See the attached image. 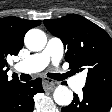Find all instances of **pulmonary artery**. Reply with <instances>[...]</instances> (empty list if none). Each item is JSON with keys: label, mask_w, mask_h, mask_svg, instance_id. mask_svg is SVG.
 I'll use <instances>...</instances> for the list:
<instances>
[{"label": "pulmonary artery", "mask_w": 112, "mask_h": 112, "mask_svg": "<svg viewBox=\"0 0 112 112\" xmlns=\"http://www.w3.org/2000/svg\"><path fill=\"white\" fill-rule=\"evenodd\" d=\"M64 45L58 38H50L46 48L18 62L15 68L18 71L34 73L43 70L49 63H57L62 58ZM71 88L80 90L85 83L83 76H76L68 80Z\"/></svg>", "instance_id": "pulmonary-artery-1"}]
</instances>
